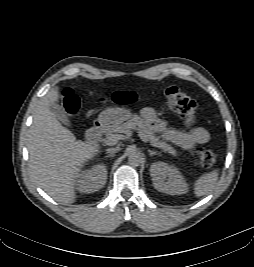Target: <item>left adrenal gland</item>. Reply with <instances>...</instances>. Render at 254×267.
I'll return each mask as SVG.
<instances>
[{
  "label": "left adrenal gland",
  "instance_id": "1",
  "mask_svg": "<svg viewBox=\"0 0 254 267\" xmlns=\"http://www.w3.org/2000/svg\"><path fill=\"white\" fill-rule=\"evenodd\" d=\"M148 153H149L150 156H153V155H160L159 152L152 151V150H150V149H148Z\"/></svg>",
  "mask_w": 254,
  "mask_h": 267
}]
</instances>
